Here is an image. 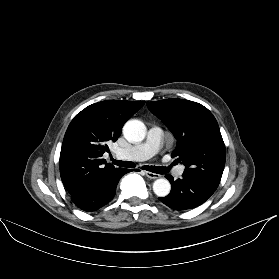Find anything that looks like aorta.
Returning <instances> with one entry per match:
<instances>
[{
  "label": "aorta",
  "mask_w": 279,
  "mask_h": 279,
  "mask_svg": "<svg viewBox=\"0 0 279 279\" xmlns=\"http://www.w3.org/2000/svg\"><path fill=\"white\" fill-rule=\"evenodd\" d=\"M124 137L130 142H141L146 135V127L139 120H130L123 127ZM171 184L165 178L154 181L153 191L159 197H165L170 193Z\"/></svg>",
  "instance_id": "obj_1"
}]
</instances>
